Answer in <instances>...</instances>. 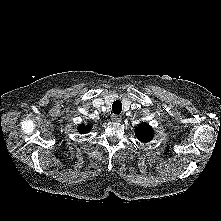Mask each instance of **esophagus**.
Segmentation results:
<instances>
[{"instance_id": "obj_1", "label": "esophagus", "mask_w": 221, "mask_h": 221, "mask_svg": "<svg viewBox=\"0 0 221 221\" xmlns=\"http://www.w3.org/2000/svg\"><path fill=\"white\" fill-rule=\"evenodd\" d=\"M111 119L114 122H120L121 121V116L114 114V115H112Z\"/></svg>"}]
</instances>
